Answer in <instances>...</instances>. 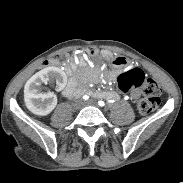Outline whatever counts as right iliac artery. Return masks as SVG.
<instances>
[{"mask_svg": "<svg viewBox=\"0 0 183 183\" xmlns=\"http://www.w3.org/2000/svg\"><path fill=\"white\" fill-rule=\"evenodd\" d=\"M83 99H84V100H88L89 97H88L87 95H84V96H83Z\"/></svg>", "mask_w": 183, "mask_h": 183, "instance_id": "82829eb1", "label": "right iliac artery"}]
</instances>
